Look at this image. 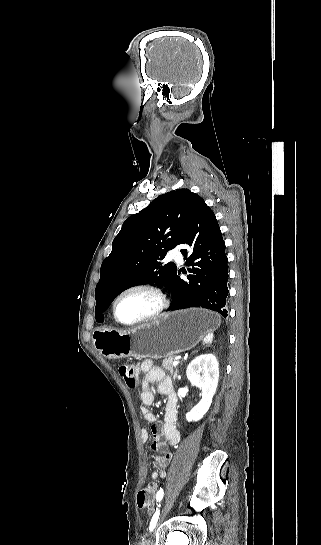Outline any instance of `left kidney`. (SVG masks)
I'll return each instance as SVG.
<instances>
[{
    "mask_svg": "<svg viewBox=\"0 0 321 545\" xmlns=\"http://www.w3.org/2000/svg\"><path fill=\"white\" fill-rule=\"evenodd\" d=\"M219 363L214 355H199L189 363L186 377L192 385L202 391V399L196 407L186 413L187 421H200L209 411L216 393L219 379Z\"/></svg>",
    "mask_w": 321,
    "mask_h": 545,
    "instance_id": "obj_1",
    "label": "left kidney"
}]
</instances>
